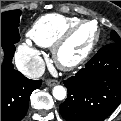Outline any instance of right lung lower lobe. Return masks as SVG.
<instances>
[{
	"label": "right lung lower lobe",
	"instance_id": "right-lung-lower-lobe-1",
	"mask_svg": "<svg viewBox=\"0 0 121 121\" xmlns=\"http://www.w3.org/2000/svg\"><path fill=\"white\" fill-rule=\"evenodd\" d=\"M4 61L1 66V121H20L27 113L29 98L42 81L26 78L12 64L15 46L1 42Z\"/></svg>",
	"mask_w": 121,
	"mask_h": 121
}]
</instances>
